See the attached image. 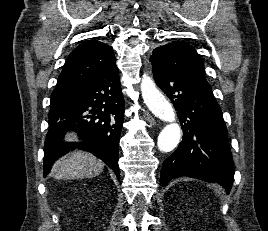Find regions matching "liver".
<instances>
[{"mask_svg": "<svg viewBox=\"0 0 268 231\" xmlns=\"http://www.w3.org/2000/svg\"><path fill=\"white\" fill-rule=\"evenodd\" d=\"M74 139H76L74 134L66 135V140ZM103 168L104 163L94 155L83 151H73L54 164L52 174L58 180L92 178L99 175Z\"/></svg>", "mask_w": 268, "mask_h": 231, "instance_id": "6515ba94", "label": "liver"}]
</instances>
